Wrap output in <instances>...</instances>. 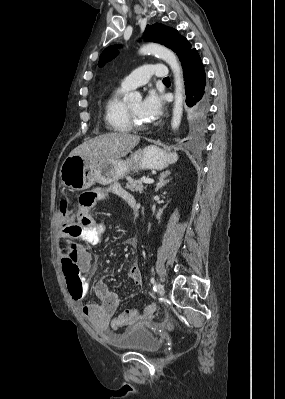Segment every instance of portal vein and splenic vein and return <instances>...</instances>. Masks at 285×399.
I'll return each instance as SVG.
<instances>
[{"mask_svg": "<svg viewBox=\"0 0 285 399\" xmlns=\"http://www.w3.org/2000/svg\"><path fill=\"white\" fill-rule=\"evenodd\" d=\"M143 183H145V184H152V183H154V180L151 179V178H148V179H145V180L143 181Z\"/></svg>", "mask_w": 285, "mask_h": 399, "instance_id": "18ae733b", "label": "portal vein and splenic vein"}]
</instances>
